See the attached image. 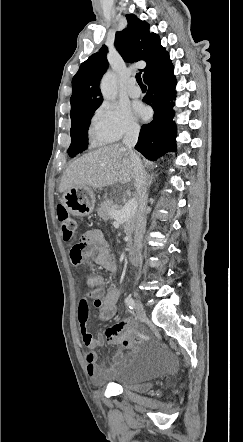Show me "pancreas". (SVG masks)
<instances>
[{"label":"pancreas","instance_id":"cf45deb5","mask_svg":"<svg viewBox=\"0 0 243 442\" xmlns=\"http://www.w3.org/2000/svg\"><path fill=\"white\" fill-rule=\"evenodd\" d=\"M118 209H119V206L113 204V202H111V201L106 200L101 203L100 207L97 210V213L103 220H109V219H112L110 212L112 210H118ZM134 227H135V218L134 217L130 218L129 220H127L125 222V228L129 234H131L133 232Z\"/></svg>","mask_w":243,"mask_h":442}]
</instances>
